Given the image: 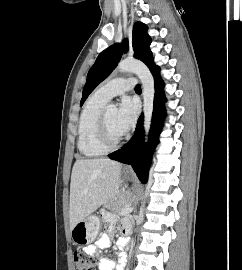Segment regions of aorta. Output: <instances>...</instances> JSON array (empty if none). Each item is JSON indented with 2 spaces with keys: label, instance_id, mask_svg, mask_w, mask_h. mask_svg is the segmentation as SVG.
I'll use <instances>...</instances> for the list:
<instances>
[{
  "label": "aorta",
  "instance_id": "obj_1",
  "mask_svg": "<svg viewBox=\"0 0 242 270\" xmlns=\"http://www.w3.org/2000/svg\"><path fill=\"white\" fill-rule=\"evenodd\" d=\"M117 69L120 72L135 73L141 81L143 94L145 141H147L151 126L155 93L153 76L144 63L135 59H124L120 61L118 63ZM106 109L107 111L113 112L116 111V106L114 104H110L106 107Z\"/></svg>",
  "mask_w": 242,
  "mask_h": 270
}]
</instances>
